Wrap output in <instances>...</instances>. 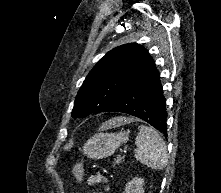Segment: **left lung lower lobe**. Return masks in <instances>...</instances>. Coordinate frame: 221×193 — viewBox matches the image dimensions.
<instances>
[{
	"label": "left lung lower lobe",
	"instance_id": "left-lung-lower-lobe-1",
	"mask_svg": "<svg viewBox=\"0 0 221 193\" xmlns=\"http://www.w3.org/2000/svg\"><path fill=\"white\" fill-rule=\"evenodd\" d=\"M160 74L156 67L134 80L105 112H122L138 117L167 138V111Z\"/></svg>",
	"mask_w": 221,
	"mask_h": 193
}]
</instances>
